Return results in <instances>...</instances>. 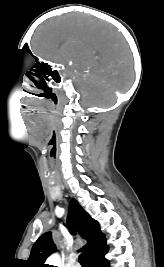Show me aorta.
<instances>
[{"instance_id": "aorta-1", "label": "aorta", "mask_w": 164, "mask_h": 267, "mask_svg": "<svg viewBox=\"0 0 164 267\" xmlns=\"http://www.w3.org/2000/svg\"><path fill=\"white\" fill-rule=\"evenodd\" d=\"M47 262L53 266H60L61 264L60 257L58 254H53L52 256H50Z\"/></svg>"}]
</instances>
